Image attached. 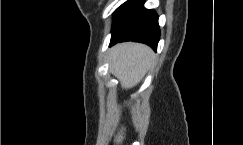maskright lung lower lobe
Returning a JSON list of instances; mask_svg holds the SVG:
<instances>
[{
    "label": "right lung lower lobe",
    "mask_w": 243,
    "mask_h": 145,
    "mask_svg": "<svg viewBox=\"0 0 243 145\" xmlns=\"http://www.w3.org/2000/svg\"><path fill=\"white\" fill-rule=\"evenodd\" d=\"M142 0H128L113 15L110 46L123 41L142 42L154 50L160 38L158 16L145 9Z\"/></svg>",
    "instance_id": "right-lung-lower-lobe-1"
}]
</instances>
